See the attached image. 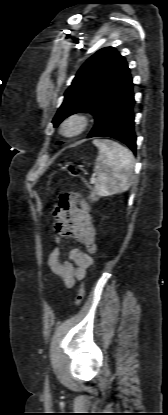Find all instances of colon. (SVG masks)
Segmentation results:
<instances>
[{
	"instance_id": "5ec220e1",
	"label": "colon",
	"mask_w": 168,
	"mask_h": 415,
	"mask_svg": "<svg viewBox=\"0 0 168 415\" xmlns=\"http://www.w3.org/2000/svg\"><path fill=\"white\" fill-rule=\"evenodd\" d=\"M66 169L73 176H79L80 175L78 167L73 163H68L66 165ZM81 184L83 185L84 188H88V193L86 194V199L91 200V202H95V200H97L99 196H98L97 193H95L96 191L94 190V186H93V184H91L90 179L88 177H83L81 179ZM84 293H85L84 287H83V285H81L78 289V293H77V296H76V301H75L76 305H79L82 302L83 297H84Z\"/></svg>"
}]
</instances>
